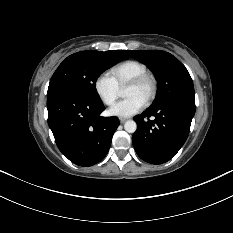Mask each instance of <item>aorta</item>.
<instances>
[{
	"label": "aorta",
	"mask_w": 233,
	"mask_h": 233,
	"mask_svg": "<svg viewBox=\"0 0 233 233\" xmlns=\"http://www.w3.org/2000/svg\"><path fill=\"white\" fill-rule=\"evenodd\" d=\"M124 129L128 133H134L137 129V124L133 120H128L124 124Z\"/></svg>",
	"instance_id": "aorta-1"
}]
</instances>
